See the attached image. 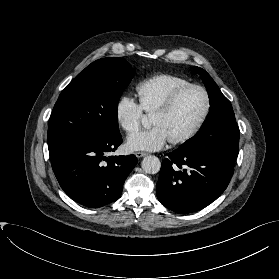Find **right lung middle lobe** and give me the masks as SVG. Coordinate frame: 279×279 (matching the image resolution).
Instances as JSON below:
<instances>
[{
	"label": "right lung middle lobe",
	"instance_id": "dd1d6c3e",
	"mask_svg": "<svg viewBox=\"0 0 279 279\" xmlns=\"http://www.w3.org/2000/svg\"><path fill=\"white\" fill-rule=\"evenodd\" d=\"M133 69L122 58L91 63L61 92L50 117L48 149L119 133L117 107Z\"/></svg>",
	"mask_w": 279,
	"mask_h": 279
}]
</instances>
